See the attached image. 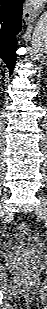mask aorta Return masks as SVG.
Wrapping results in <instances>:
<instances>
[{"instance_id": "1", "label": "aorta", "mask_w": 47, "mask_h": 309, "mask_svg": "<svg viewBox=\"0 0 47 309\" xmlns=\"http://www.w3.org/2000/svg\"><path fill=\"white\" fill-rule=\"evenodd\" d=\"M47 51V19L42 17L36 24L31 40L30 56L39 60Z\"/></svg>"}]
</instances>
